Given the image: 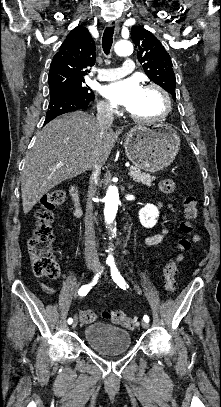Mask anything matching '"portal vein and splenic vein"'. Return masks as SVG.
Listing matches in <instances>:
<instances>
[{
  "label": "portal vein and splenic vein",
  "instance_id": "18ae733b",
  "mask_svg": "<svg viewBox=\"0 0 221 407\" xmlns=\"http://www.w3.org/2000/svg\"><path fill=\"white\" fill-rule=\"evenodd\" d=\"M128 174H129V176H132L134 174V172L130 170V172Z\"/></svg>",
  "mask_w": 221,
  "mask_h": 407
}]
</instances>
